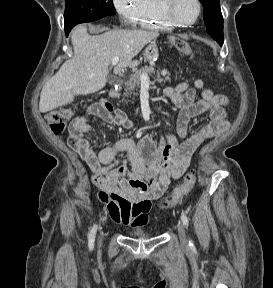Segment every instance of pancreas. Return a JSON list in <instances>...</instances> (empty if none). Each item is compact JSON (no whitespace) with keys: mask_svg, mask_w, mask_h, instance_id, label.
<instances>
[{"mask_svg":"<svg viewBox=\"0 0 273 288\" xmlns=\"http://www.w3.org/2000/svg\"><path fill=\"white\" fill-rule=\"evenodd\" d=\"M155 73L154 68L153 67H148L145 66L143 68H141L138 71H135V73L133 75L130 76L129 80L127 82H125V92H124V96L127 97L129 95H136L135 90L138 91L140 88V83H141V75L142 74H152ZM157 80L158 82H171L170 79V73L167 70H162L161 73L157 74Z\"/></svg>","mask_w":273,"mask_h":288,"instance_id":"pancreas-1","label":"pancreas"}]
</instances>
